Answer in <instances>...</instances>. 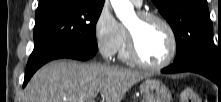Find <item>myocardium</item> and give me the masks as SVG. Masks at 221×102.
Here are the masks:
<instances>
[{
	"label": "myocardium",
	"instance_id": "f54148a6",
	"mask_svg": "<svg viewBox=\"0 0 221 102\" xmlns=\"http://www.w3.org/2000/svg\"><path fill=\"white\" fill-rule=\"evenodd\" d=\"M137 17L139 18L140 21H156L160 23L168 32L170 41H171V48L169 55L167 58L160 62V63H149L145 61L142 56L140 55L137 45H136V40L134 37V34L129 28H126V48L127 52L129 55V58L137 65L150 69V70H159L167 67L172 63V61L175 59L177 50H178V41H177V36L176 33L171 26V24L162 16L148 12V11H140L137 13Z\"/></svg>",
	"mask_w": 221,
	"mask_h": 102
}]
</instances>
